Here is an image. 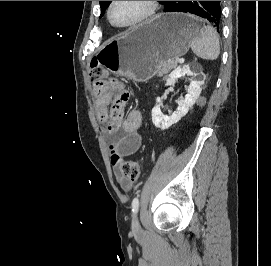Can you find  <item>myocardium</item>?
I'll list each match as a JSON object with an SVG mask.
<instances>
[{
	"instance_id": "1",
	"label": "myocardium",
	"mask_w": 271,
	"mask_h": 266,
	"mask_svg": "<svg viewBox=\"0 0 271 266\" xmlns=\"http://www.w3.org/2000/svg\"><path fill=\"white\" fill-rule=\"evenodd\" d=\"M114 3H115V1H111L108 5L107 19L113 27L118 28V29H130V28L137 27V26L147 22L148 20H150L158 10V1H146L147 9L141 17H139L137 20H135L132 23L125 24V25H118L113 22L112 17H111V10H112Z\"/></svg>"
}]
</instances>
